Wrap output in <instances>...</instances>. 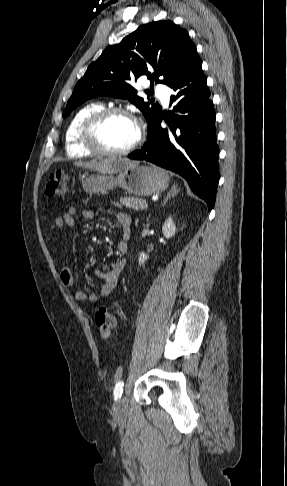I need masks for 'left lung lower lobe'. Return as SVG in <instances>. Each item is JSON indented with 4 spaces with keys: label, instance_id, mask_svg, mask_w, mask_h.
Here are the masks:
<instances>
[{
    "label": "left lung lower lobe",
    "instance_id": "left-lung-lower-lobe-1",
    "mask_svg": "<svg viewBox=\"0 0 287 486\" xmlns=\"http://www.w3.org/2000/svg\"><path fill=\"white\" fill-rule=\"evenodd\" d=\"M177 102L168 119L170 130L160 125L163 113L148 128V140L130 159L146 160L183 176L192 191L211 210L219 181V148L216 143L215 111L198 57L168 85ZM166 120V119H165Z\"/></svg>",
    "mask_w": 287,
    "mask_h": 486
}]
</instances>
